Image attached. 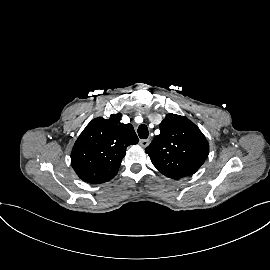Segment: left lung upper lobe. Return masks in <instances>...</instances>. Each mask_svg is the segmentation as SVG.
<instances>
[{"instance_id":"left-lung-upper-lobe-1","label":"left lung upper lobe","mask_w":270,"mask_h":270,"mask_svg":"<svg viewBox=\"0 0 270 270\" xmlns=\"http://www.w3.org/2000/svg\"><path fill=\"white\" fill-rule=\"evenodd\" d=\"M159 127L161 133L145 149L153 165L172 179L194 174L209 154L203 133L189 119L176 114H167Z\"/></svg>"}]
</instances>
